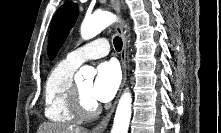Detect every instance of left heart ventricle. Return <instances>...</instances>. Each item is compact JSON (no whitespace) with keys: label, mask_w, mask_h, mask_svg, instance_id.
<instances>
[{"label":"left heart ventricle","mask_w":221,"mask_h":133,"mask_svg":"<svg viewBox=\"0 0 221 133\" xmlns=\"http://www.w3.org/2000/svg\"><path fill=\"white\" fill-rule=\"evenodd\" d=\"M77 85L80 88L81 93H82L85 101L88 104L92 103L93 102V99L91 97L92 82L91 81H85V82H80Z\"/></svg>","instance_id":"b2bd125f"}]
</instances>
